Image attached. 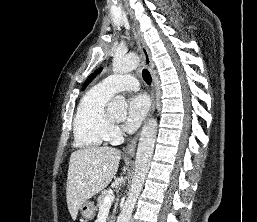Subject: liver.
Masks as SVG:
<instances>
[{
  "mask_svg": "<svg viewBox=\"0 0 257 222\" xmlns=\"http://www.w3.org/2000/svg\"><path fill=\"white\" fill-rule=\"evenodd\" d=\"M120 157L121 151L111 147H87L71 154L66 200L73 220H76L80 206L112 181Z\"/></svg>",
  "mask_w": 257,
  "mask_h": 222,
  "instance_id": "6515ba94",
  "label": "liver"
}]
</instances>
